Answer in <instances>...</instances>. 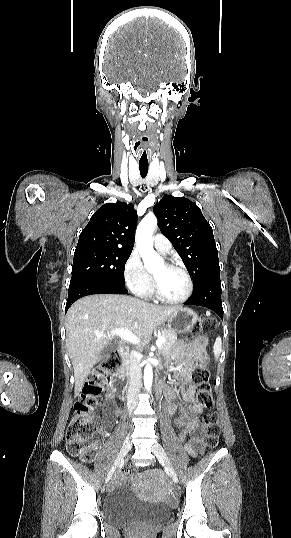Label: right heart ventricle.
I'll list each match as a JSON object with an SVG mask.
<instances>
[{
    "instance_id": "1",
    "label": "right heart ventricle",
    "mask_w": 291,
    "mask_h": 538,
    "mask_svg": "<svg viewBox=\"0 0 291 538\" xmlns=\"http://www.w3.org/2000/svg\"><path fill=\"white\" fill-rule=\"evenodd\" d=\"M151 293H152V292H151V288H150V290H149V292H148L147 294H151Z\"/></svg>"
}]
</instances>
